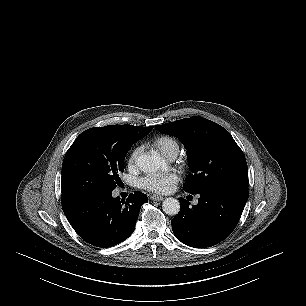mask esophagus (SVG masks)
<instances>
[{"mask_svg":"<svg viewBox=\"0 0 306 306\" xmlns=\"http://www.w3.org/2000/svg\"><path fill=\"white\" fill-rule=\"evenodd\" d=\"M150 199L152 201H162L164 199V197L158 196V195H153V196L150 197Z\"/></svg>","mask_w":306,"mask_h":306,"instance_id":"34e87169","label":"esophagus"}]
</instances>
